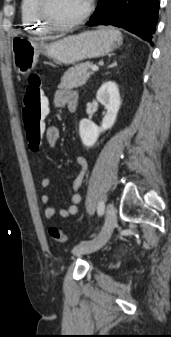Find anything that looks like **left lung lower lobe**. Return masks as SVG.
I'll list each match as a JSON object with an SVG mask.
<instances>
[{
	"label": "left lung lower lobe",
	"mask_w": 171,
	"mask_h": 337,
	"mask_svg": "<svg viewBox=\"0 0 171 337\" xmlns=\"http://www.w3.org/2000/svg\"><path fill=\"white\" fill-rule=\"evenodd\" d=\"M159 0H100L88 26L113 25L152 43Z\"/></svg>",
	"instance_id": "1"
}]
</instances>
